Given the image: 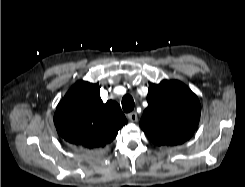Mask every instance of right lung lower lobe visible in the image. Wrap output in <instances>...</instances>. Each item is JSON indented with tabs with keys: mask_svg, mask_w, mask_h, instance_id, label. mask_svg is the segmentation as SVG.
<instances>
[{
	"mask_svg": "<svg viewBox=\"0 0 245 187\" xmlns=\"http://www.w3.org/2000/svg\"><path fill=\"white\" fill-rule=\"evenodd\" d=\"M75 149L82 151V152H88V150H84V149H78V148H75Z\"/></svg>",
	"mask_w": 245,
	"mask_h": 187,
	"instance_id": "98d812e1",
	"label": "right lung lower lobe"
}]
</instances>
